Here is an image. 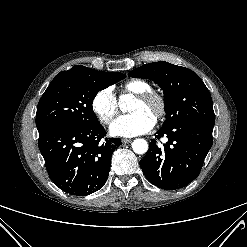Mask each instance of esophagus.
I'll use <instances>...</instances> for the list:
<instances>
[{
	"instance_id": "obj_1",
	"label": "esophagus",
	"mask_w": 247,
	"mask_h": 247,
	"mask_svg": "<svg viewBox=\"0 0 247 247\" xmlns=\"http://www.w3.org/2000/svg\"><path fill=\"white\" fill-rule=\"evenodd\" d=\"M132 139H127V138H123L122 139V143L127 144V143H131Z\"/></svg>"
}]
</instances>
